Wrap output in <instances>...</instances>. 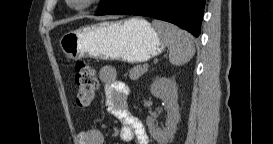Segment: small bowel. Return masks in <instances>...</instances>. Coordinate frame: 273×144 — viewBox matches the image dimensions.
Segmentation results:
<instances>
[{
	"label": "small bowel",
	"mask_w": 273,
	"mask_h": 144,
	"mask_svg": "<svg viewBox=\"0 0 273 144\" xmlns=\"http://www.w3.org/2000/svg\"><path fill=\"white\" fill-rule=\"evenodd\" d=\"M99 79L105 84L106 108L121 122L119 137L123 142L134 139L138 144H149V136L142 124L129 110V92L126 85L117 79V72L110 66L99 70ZM104 134L99 129H87L77 134V144H103Z\"/></svg>",
	"instance_id": "c3829d8e"
}]
</instances>
